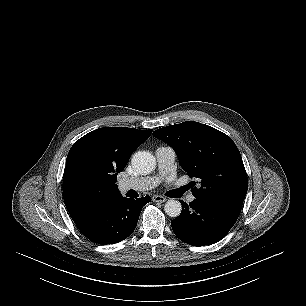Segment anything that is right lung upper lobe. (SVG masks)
Returning <instances> with one entry per match:
<instances>
[{
	"instance_id": "cb5924a9",
	"label": "right lung upper lobe",
	"mask_w": 306,
	"mask_h": 306,
	"mask_svg": "<svg viewBox=\"0 0 306 306\" xmlns=\"http://www.w3.org/2000/svg\"><path fill=\"white\" fill-rule=\"evenodd\" d=\"M152 130L104 127L71 147L63 176V196L73 221L80 223L122 198L117 181L133 151Z\"/></svg>"
}]
</instances>
